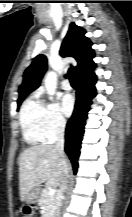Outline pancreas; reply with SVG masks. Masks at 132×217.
Returning <instances> with one entry per match:
<instances>
[{
  "label": "pancreas",
  "instance_id": "pancreas-1",
  "mask_svg": "<svg viewBox=\"0 0 132 217\" xmlns=\"http://www.w3.org/2000/svg\"><path fill=\"white\" fill-rule=\"evenodd\" d=\"M56 195H49V189L44 188L41 191L39 206L42 209L43 217H52L57 209Z\"/></svg>",
  "mask_w": 132,
  "mask_h": 217
}]
</instances>
